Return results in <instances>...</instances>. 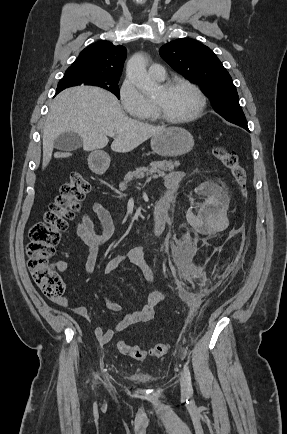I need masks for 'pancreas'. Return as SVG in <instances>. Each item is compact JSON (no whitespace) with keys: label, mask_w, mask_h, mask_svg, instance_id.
Instances as JSON below:
<instances>
[{"label":"pancreas","mask_w":287,"mask_h":434,"mask_svg":"<svg viewBox=\"0 0 287 434\" xmlns=\"http://www.w3.org/2000/svg\"><path fill=\"white\" fill-rule=\"evenodd\" d=\"M180 165L179 162L172 161H155L150 164V167H140L135 171L127 173L124 178V181L120 183L119 188L121 191H125L127 189V183L134 179H142L145 176H151L153 179H157L158 177H164L165 172L173 171L175 167Z\"/></svg>","instance_id":"1"}]
</instances>
